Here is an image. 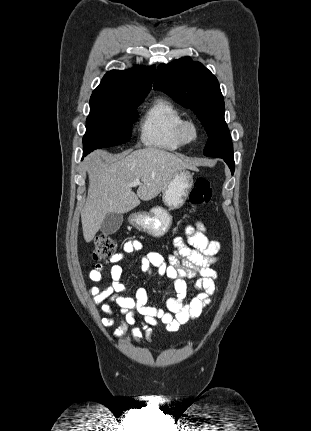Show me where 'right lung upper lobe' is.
I'll list each match as a JSON object with an SVG mask.
<instances>
[{
  "label": "right lung upper lobe",
  "mask_w": 311,
  "mask_h": 431,
  "mask_svg": "<svg viewBox=\"0 0 311 431\" xmlns=\"http://www.w3.org/2000/svg\"><path fill=\"white\" fill-rule=\"evenodd\" d=\"M154 69L155 66H135L125 71H109L92 95L146 97L151 89Z\"/></svg>",
  "instance_id": "obj_1"
}]
</instances>
